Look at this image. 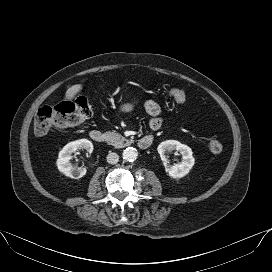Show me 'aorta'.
Instances as JSON below:
<instances>
[{"label": "aorta", "mask_w": 272, "mask_h": 272, "mask_svg": "<svg viewBox=\"0 0 272 272\" xmlns=\"http://www.w3.org/2000/svg\"><path fill=\"white\" fill-rule=\"evenodd\" d=\"M123 159L128 162H133L137 159V150L133 147H127L122 153Z\"/></svg>", "instance_id": "aorta-1"}]
</instances>
